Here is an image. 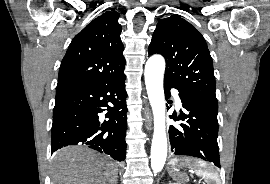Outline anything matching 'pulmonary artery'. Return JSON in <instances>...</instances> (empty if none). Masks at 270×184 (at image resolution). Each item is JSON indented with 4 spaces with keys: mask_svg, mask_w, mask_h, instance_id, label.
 <instances>
[{
    "mask_svg": "<svg viewBox=\"0 0 270 184\" xmlns=\"http://www.w3.org/2000/svg\"><path fill=\"white\" fill-rule=\"evenodd\" d=\"M176 104L178 107H181V101L177 95H176Z\"/></svg>",
    "mask_w": 270,
    "mask_h": 184,
    "instance_id": "pulmonary-artery-1",
    "label": "pulmonary artery"
}]
</instances>
